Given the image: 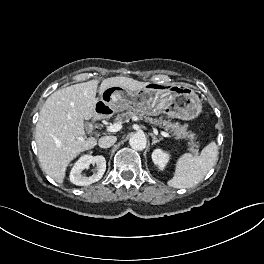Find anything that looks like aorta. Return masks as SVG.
I'll return each mask as SVG.
<instances>
[{
    "label": "aorta",
    "instance_id": "1",
    "mask_svg": "<svg viewBox=\"0 0 264 264\" xmlns=\"http://www.w3.org/2000/svg\"><path fill=\"white\" fill-rule=\"evenodd\" d=\"M146 137L144 134L135 133L129 139V144L132 149L141 151L146 147Z\"/></svg>",
    "mask_w": 264,
    "mask_h": 264
}]
</instances>
